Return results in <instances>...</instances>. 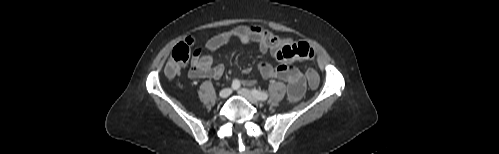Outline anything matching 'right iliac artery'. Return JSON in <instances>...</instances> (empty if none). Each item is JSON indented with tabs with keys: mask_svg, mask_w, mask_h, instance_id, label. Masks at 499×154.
I'll use <instances>...</instances> for the list:
<instances>
[{
	"mask_svg": "<svg viewBox=\"0 0 499 154\" xmlns=\"http://www.w3.org/2000/svg\"><path fill=\"white\" fill-rule=\"evenodd\" d=\"M239 87H240V81H239V80H237V79L233 80L232 85H231V88H232L233 90H237Z\"/></svg>",
	"mask_w": 499,
	"mask_h": 154,
	"instance_id": "obj_1",
	"label": "right iliac artery"
}]
</instances>
